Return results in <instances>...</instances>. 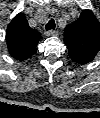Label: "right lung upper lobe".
Segmentation results:
<instances>
[{"instance_id": "1", "label": "right lung upper lobe", "mask_w": 100, "mask_h": 118, "mask_svg": "<svg viewBox=\"0 0 100 118\" xmlns=\"http://www.w3.org/2000/svg\"><path fill=\"white\" fill-rule=\"evenodd\" d=\"M41 35L30 28L25 16L17 14L8 25L6 41L9 53L17 60L23 61L36 53V45Z\"/></svg>"}]
</instances>
